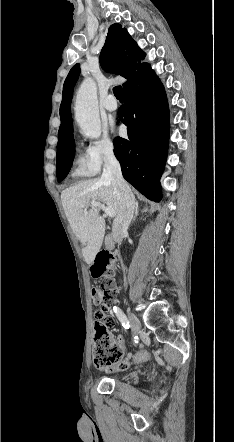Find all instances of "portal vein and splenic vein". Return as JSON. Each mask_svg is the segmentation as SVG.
Returning a JSON list of instances; mask_svg holds the SVG:
<instances>
[{"label":"portal vein and splenic vein","instance_id":"obj_1","mask_svg":"<svg viewBox=\"0 0 234 442\" xmlns=\"http://www.w3.org/2000/svg\"><path fill=\"white\" fill-rule=\"evenodd\" d=\"M91 207L102 209V210L105 212V215H106V216H109V217H114V216L116 215V213H115V211H114L113 208H111V207H106V206H104L103 204H101V203H99V202H92V203H91ZM86 211H87V210L85 209V212H86Z\"/></svg>","mask_w":234,"mask_h":442}]
</instances>
